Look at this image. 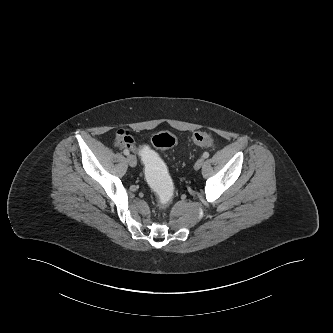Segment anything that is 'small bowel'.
I'll use <instances>...</instances> for the list:
<instances>
[{
    "instance_id": "1",
    "label": "small bowel",
    "mask_w": 333,
    "mask_h": 333,
    "mask_svg": "<svg viewBox=\"0 0 333 333\" xmlns=\"http://www.w3.org/2000/svg\"><path fill=\"white\" fill-rule=\"evenodd\" d=\"M112 145L116 151L127 153L135 149V138L131 132L120 130L114 134Z\"/></svg>"
}]
</instances>
